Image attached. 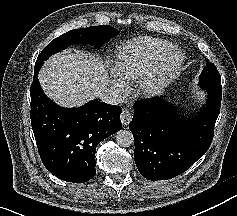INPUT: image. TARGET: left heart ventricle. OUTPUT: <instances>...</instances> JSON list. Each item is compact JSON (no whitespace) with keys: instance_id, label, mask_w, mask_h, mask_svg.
<instances>
[{"instance_id":"1","label":"left heart ventricle","mask_w":237,"mask_h":216,"mask_svg":"<svg viewBox=\"0 0 237 216\" xmlns=\"http://www.w3.org/2000/svg\"><path fill=\"white\" fill-rule=\"evenodd\" d=\"M176 65H177V54L174 50H171L165 56L161 69L164 70L168 75L175 71Z\"/></svg>"}]
</instances>
